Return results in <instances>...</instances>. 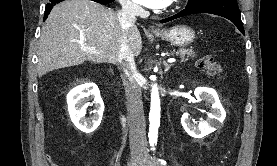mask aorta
<instances>
[{"instance_id":"1","label":"aorta","mask_w":277,"mask_h":166,"mask_svg":"<svg viewBox=\"0 0 277 166\" xmlns=\"http://www.w3.org/2000/svg\"><path fill=\"white\" fill-rule=\"evenodd\" d=\"M149 143L151 146L156 145L158 138V128L160 125V98L157 85H153L151 91V108L149 113Z\"/></svg>"}]
</instances>
